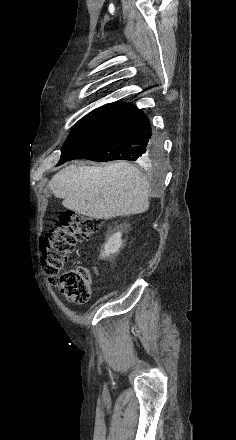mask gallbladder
I'll return each instance as SVG.
<instances>
[{
    "label": "gallbladder",
    "instance_id": "bac80fb5",
    "mask_svg": "<svg viewBox=\"0 0 236 440\" xmlns=\"http://www.w3.org/2000/svg\"><path fill=\"white\" fill-rule=\"evenodd\" d=\"M44 195L46 197H51V195H52V191L48 186L44 189Z\"/></svg>",
    "mask_w": 236,
    "mask_h": 440
}]
</instances>
